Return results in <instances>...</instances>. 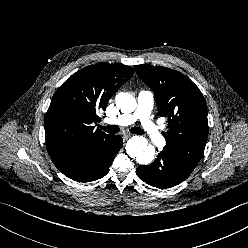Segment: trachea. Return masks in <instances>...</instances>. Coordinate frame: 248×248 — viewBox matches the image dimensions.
I'll list each match as a JSON object with an SVG mask.
<instances>
[{
	"mask_svg": "<svg viewBox=\"0 0 248 248\" xmlns=\"http://www.w3.org/2000/svg\"><path fill=\"white\" fill-rule=\"evenodd\" d=\"M102 130H104L107 133L110 134H115L118 133L120 131L119 127L117 125H108V126H99ZM130 132L133 134H139V135H143L144 131L139 128V127H132L130 129Z\"/></svg>",
	"mask_w": 248,
	"mask_h": 248,
	"instance_id": "3493384b",
	"label": "trachea"
}]
</instances>
